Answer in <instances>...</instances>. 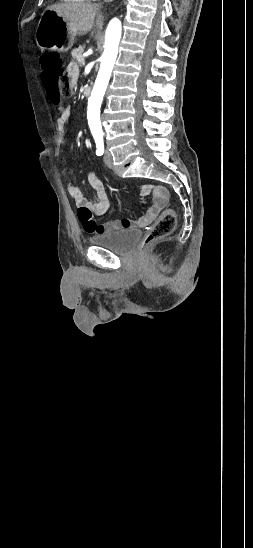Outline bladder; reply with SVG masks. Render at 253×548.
I'll return each mask as SVG.
<instances>
[{"mask_svg": "<svg viewBox=\"0 0 253 548\" xmlns=\"http://www.w3.org/2000/svg\"><path fill=\"white\" fill-rule=\"evenodd\" d=\"M140 236L136 229L110 231L89 238L91 244L104 247L114 253L128 252Z\"/></svg>", "mask_w": 253, "mask_h": 548, "instance_id": "obj_1", "label": "bladder"}]
</instances>
